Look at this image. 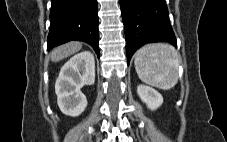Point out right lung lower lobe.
<instances>
[{"label": "right lung lower lobe", "instance_id": "obj_1", "mask_svg": "<svg viewBox=\"0 0 227 142\" xmlns=\"http://www.w3.org/2000/svg\"><path fill=\"white\" fill-rule=\"evenodd\" d=\"M48 50L69 41L90 44L99 57L97 0H51Z\"/></svg>", "mask_w": 227, "mask_h": 142}]
</instances>
